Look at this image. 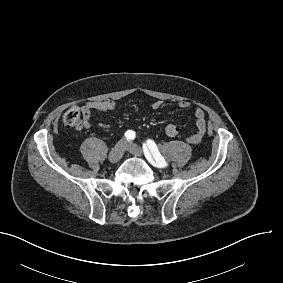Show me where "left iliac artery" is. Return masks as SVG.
<instances>
[{"mask_svg":"<svg viewBox=\"0 0 283 283\" xmlns=\"http://www.w3.org/2000/svg\"><path fill=\"white\" fill-rule=\"evenodd\" d=\"M143 151H144L145 157L152 164H154V160L152 158V155H153L157 167L163 168V167H166L168 165L167 162L165 161L164 157L158 151L154 141L147 140V144H145V143L143 144Z\"/></svg>","mask_w":283,"mask_h":283,"instance_id":"1","label":"left iliac artery"}]
</instances>
